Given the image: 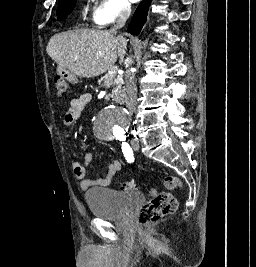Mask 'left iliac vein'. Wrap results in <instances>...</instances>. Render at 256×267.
Segmentation results:
<instances>
[{"instance_id": "1", "label": "left iliac vein", "mask_w": 256, "mask_h": 267, "mask_svg": "<svg viewBox=\"0 0 256 267\" xmlns=\"http://www.w3.org/2000/svg\"><path fill=\"white\" fill-rule=\"evenodd\" d=\"M131 147L134 151H139V143L136 139L131 141Z\"/></svg>"}]
</instances>
